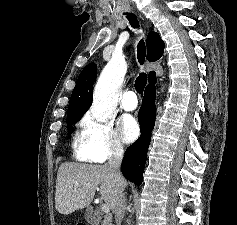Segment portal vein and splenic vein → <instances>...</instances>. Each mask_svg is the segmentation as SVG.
Returning a JSON list of instances; mask_svg holds the SVG:
<instances>
[{
	"mask_svg": "<svg viewBox=\"0 0 237 225\" xmlns=\"http://www.w3.org/2000/svg\"><path fill=\"white\" fill-rule=\"evenodd\" d=\"M101 210H102V212H104L106 214H108L110 212V208L107 204H102L101 205Z\"/></svg>",
	"mask_w": 237,
	"mask_h": 225,
	"instance_id": "1",
	"label": "portal vein and splenic vein"
}]
</instances>
